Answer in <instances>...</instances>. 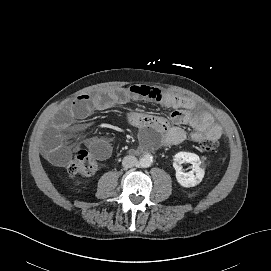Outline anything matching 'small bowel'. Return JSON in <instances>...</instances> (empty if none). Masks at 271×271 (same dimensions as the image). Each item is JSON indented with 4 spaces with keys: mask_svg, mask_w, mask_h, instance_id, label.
<instances>
[{
    "mask_svg": "<svg viewBox=\"0 0 271 271\" xmlns=\"http://www.w3.org/2000/svg\"><path fill=\"white\" fill-rule=\"evenodd\" d=\"M151 101L167 108L174 109L170 118L133 112L128 115V121L140 129L143 140L154 141L160 134L159 143L162 146L179 144L186 139L199 142L205 137L220 138L221 127L205 110L197 109L191 98L164 91L157 87L132 85L126 88H115L94 95L82 94L70 104L62 108L54 117L52 125L47 130L43 153L55 165H62L70 155L65 144L64 132L75 120L88 117L95 110L109 108L115 104H125L131 101ZM183 125H188L185 129ZM86 145L101 160L107 159L112 153V146L106 139L90 137Z\"/></svg>",
    "mask_w": 271,
    "mask_h": 271,
    "instance_id": "obj_1",
    "label": "small bowel"
}]
</instances>
